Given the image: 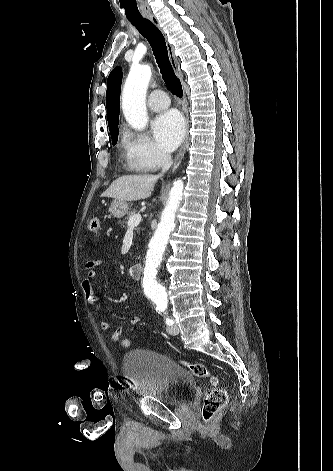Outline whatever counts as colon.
Returning <instances> with one entry per match:
<instances>
[{"label":"colon","instance_id":"1","mask_svg":"<svg viewBox=\"0 0 333 471\" xmlns=\"http://www.w3.org/2000/svg\"><path fill=\"white\" fill-rule=\"evenodd\" d=\"M100 227V220L98 217H92L88 222V229L95 232ZM120 345L123 348H129L131 341L128 338H120ZM185 368L189 369L191 373L200 378H208L211 383V388L205 395L202 407V418L206 425H209L215 415L225 407L227 404V393L220 386L219 379L213 375L209 369L199 362H188L181 360L180 362Z\"/></svg>","mask_w":333,"mask_h":471}]
</instances>
